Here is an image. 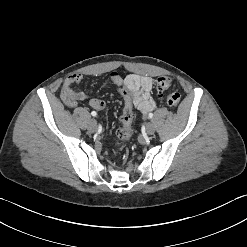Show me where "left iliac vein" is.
Wrapping results in <instances>:
<instances>
[{
	"mask_svg": "<svg viewBox=\"0 0 247 247\" xmlns=\"http://www.w3.org/2000/svg\"><path fill=\"white\" fill-rule=\"evenodd\" d=\"M146 132L149 135L154 134V132H155V126H154V124L152 122L147 123V125H146Z\"/></svg>",
	"mask_w": 247,
	"mask_h": 247,
	"instance_id": "1",
	"label": "left iliac vein"
}]
</instances>
